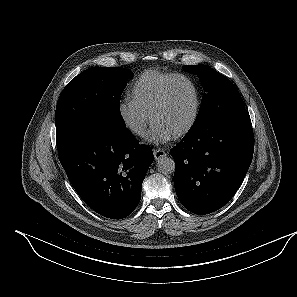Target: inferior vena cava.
<instances>
[{"label":"inferior vena cava","instance_id":"inferior-vena-cava-1","mask_svg":"<svg viewBox=\"0 0 297 297\" xmlns=\"http://www.w3.org/2000/svg\"><path fill=\"white\" fill-rule=\"evenodd\" d=\"M132 130L141 133L144 130V125L142 123L134 124Z\"/></svg>","mask_w":297,"mask_h":297}]
</instances>
